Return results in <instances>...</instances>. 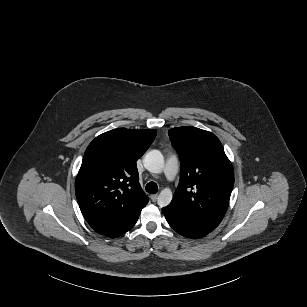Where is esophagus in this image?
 <instances>
[{"label": "esophagus", "instance_id": "esophagus-1", "mask_svg": "<svg viewBox=\"0 0 307 307\" xmlns=\"http://www.w3.org/2000/svg\"><path fill=\"white\" fill-rule=\"evenodd\" d=\"M157 197H158L157 194L150 195V198H151L152 202H156Z\"/></svg>", "mask_w": 307, "mask_h": 307}]
</instances>
